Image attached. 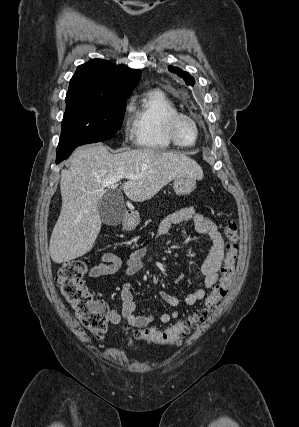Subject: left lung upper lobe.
I'll list each match as a JSON object with an SVG mask.
<instances>
[{
    "instance_id": "obj_1",
    "label": "left lung upper lobe",
    "mask_w": 299,
    "mask_h": 427,
    "mask_svg": "<svg viewBox=\"0 0 299 427\" xmlns=\"http://www.w3.org/2000/svg\"><path fill=\"white\" fill-rule=\"evenodd\" d=\"M168 70L174 74H177L181 78H183V80L186 82L187 85L195 84L194 78L191 77V75L188 72L173 66H169Z\"/></svg>"
}]
</instances>
